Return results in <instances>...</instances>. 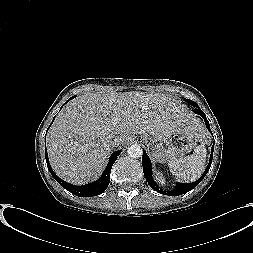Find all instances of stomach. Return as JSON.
<instances>
[{
    "instance_id": "stomach-1",
    "label": "stomach",
    "mask_w": 253,
    "mask_h": 253,
    "mask_svg": "<svg viewBox=\"0 0 253 253\" xmlns=\"http://www.w3.org/2000/svg\"><path fill=\"white\" fill-rule=\"evenodd\" d=\"M152 156L161 163L188 152L202 138L197 134H187L182 130L159 135H141Z\"/></svg>"
}]
</instances>
